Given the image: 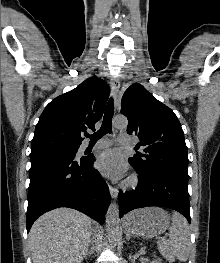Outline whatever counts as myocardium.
Segmentation results:
<instances>
[{"instance_id":"obj_1","label":"myocardium","mask_w":220,"mask_h":263,"mask_svg":"<svg viewBox=\"0 0 220 263\" xmlns=\"http://www.w3.org/2000/svg\"><path fill=\"white\" fill-rule=\"evenodd\" d=\"M137 181H138V179H137V177L136 176H132V177H130L129 179H128V181H127V185L128 186H135L136 184H137Z\"/></svg>"}]
</instances>
